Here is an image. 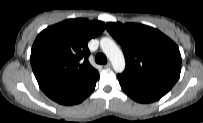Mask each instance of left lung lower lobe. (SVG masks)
<instances>
[{
	"label": "left lung lower lobe",
	"mask_w": 203,
	"mask_h": 123,
	"mask_svg": "<svg viewBox=\"0 0 203 123\" xmlns=\"http://www.w3.org/2000/svg\"><path fill=\"white\" fill-rule=\"evenodd\" d=\"M123 91L133 100L140 103H150L159 100L168 91L132 81L121 75H117Z\"/></svg>",
	"instance_id": "1"
}]
</instances>
